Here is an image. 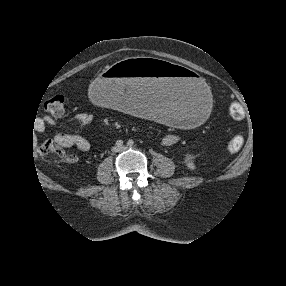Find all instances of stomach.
<instances>
[{"mask_svg": "<svg viewBox=\"0 0 286 286\" xmlns=\"http://www.w3.org/2000/svg\"><path fill=\"white\" fill-rule=\"evenodd\" d=\"M106 109L173 130L203 124L214 104L213 89L199 72L148 57H132L106 68L89 87Z\"/></svg>", "mask_w": 286, "mask_h": 286, "instance_id": "obj_1", "label": "stomach"}]
</instances>
